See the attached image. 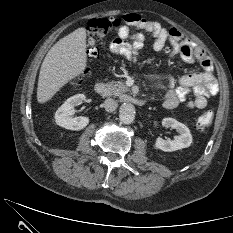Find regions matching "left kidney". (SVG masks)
Listing matches in <instances>:
<instances>
[{"label":"left kidney","mask_w":233,"mask_h":233,"mask_svg":"<svg viewBox=\"0 0 233 233\" xmlns=\"http://www.w3.org/2000/svg\"><path fill=\"white\" fill-rule=\"evenodd\" d=\"M164 127H171L176 129L179 136H176L173 140H164L162 138H157L154 148L162 150L164 152H172L189 147L192 143V135L189 128L173 118H164L162 121Z\"/></svg>","instance_id":"obj_1"}]
</instances>
